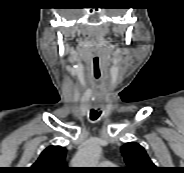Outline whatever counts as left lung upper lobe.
<instances>
[{"label":"left lung upper lobe","instance_id":"1","mask_svg":"<svg viewBox=\"0 0 184 173\" xmlns=\"http://www.w3.org/2000/svg\"><path fill=\"white\" fill-rule=\"evenodd\" d=\"M127 167L124 173H156L157 167L152 163L146 151L137 143L129 142L121 147Z\"/></svg>","mask_w":184,"mask_h":173}]
</instances>
